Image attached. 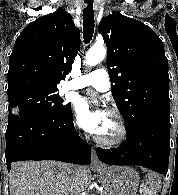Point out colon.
<instances>
[{"mask_svg": "<svg viewBox=\"0 0 178 195\" xmlns=\"http://www.w3.org/2000/svg\"><path fill=\"white\" fill-rule=\"evenodd\" d=\"M141 195H154L153 192L149 189H144L142 192H141Z\"/></svg>", "mask_w": 178, "mask_h": 195, "instance_id": "5ec220e1", "label": "colon"}]
</instances>
